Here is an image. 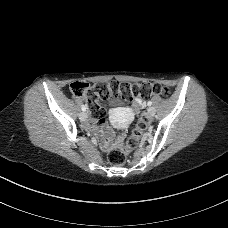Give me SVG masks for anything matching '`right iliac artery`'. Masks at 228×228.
<instances>
[{"instance_id":"right-iliac-artery-1","label":"right iliac artery","mask_w":228,"mask_h":228,"mask_svg":"<svg viewBox=\"0 0 228 228\" xmlns=\"http://www.w3.org/2000/svg\"><path fill=\"white\" fill-rule=\"evenodd\" d=\"M81 109H82V111H86V106L85 105H82L81 106Z\"/></svg>"}]
</instances>
